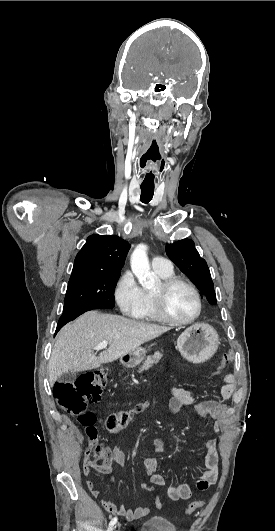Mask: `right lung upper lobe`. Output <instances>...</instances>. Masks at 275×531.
<instances>
[{"label":"right lung upper lobe","mask_w":275,"mask_h":531,"mask_svg":"<svg viewBox=\"0 0 275 531\" xmlns=\"http://www.w3.org/2000/svg\"><path fill=\"white\" fill-rule=\"evenodd\" d=\"M130 244L115 235H91L77 254L71 276L120 273Z\"/></svg>","instance_id":"1"}]
</instances>
